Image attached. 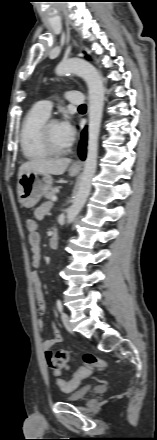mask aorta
Returning a JSON list of instances; mask_svg holds the SVG:
<instances>
[{
	"label": "aorta",
	"mask_w": 157,
	"mask_h": 440,
	"mask_svg": "<svg viewBox=\"0 0 157 440\" xmlns=\"http://www.w3.org/2000/svg\"><path fill=\"white\" fill-rule=\"evenodd\" d=\"M66 73H75L82 77L88 86L89 92L87 157L78 191L74 197L73 204L67 211V223L69 224L77 217L85 204L96 171L98 138L104 105V87L99 72L87 61L72 59L60 63L56 67V74L62 76Z\"/></svg>",
	"instance_id": "762f6f07"
}]
</instances>
